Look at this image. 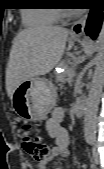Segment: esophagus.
Segmentation results:
<instances>
[{
    "label": "esophagus",
    "mask_w": 104,
    "mask_h": 169,
    "mask_svg": "<svg viewBox=\"0 0 104 169\" xmlns=\"http://www.w3.org/2000/svg\"><path fill=\"white\" fill-rule=\"evenodd\" d=\"M88 14L86 13L83 15L79 20H77L71 27V35L73 36H79L81 35L86 26V21H87Z\"/></svg>",
    "instance_id": "1"
}]
</instances>
